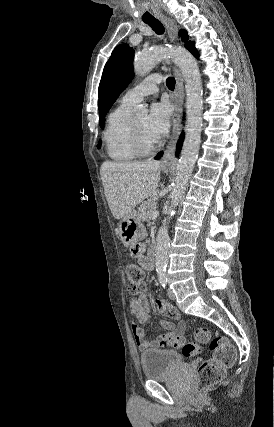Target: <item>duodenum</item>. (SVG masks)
<instances>
[{
  "label": "duodenum",
  "mask_w": 274,
  "mask_h": 427,
  "mask_svg": "<svg viewBox=\"0 0 274 427\" xmlns=\"http://www.w3.org/2000/svg\"><path fill=\"white\" fill-rule=\"evenodd\" d=\"M155 254H156V247H155V245H152L149 248V256H150V258H153L155 256Z\"/></svg>",
  "instance_id": "1"
}]
</instances>
